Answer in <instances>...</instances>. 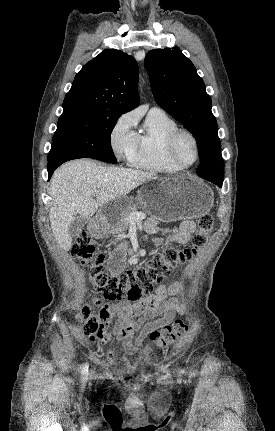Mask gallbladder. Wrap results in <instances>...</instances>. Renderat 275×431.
<instances>
[{
  "label": "gallbladder",
  "mask_w": 275,
  "mask_h": 431,
  "mask_svg": "<svg viewBox=\"0 0 275 431\" xmlns=\"http://www.w3.org/2000/svg\"><path fill=\"white\" fill-rule=\"evenodd\" d=\"M88 220H89L88 217H85V216L75 217L69 227L70 236L72 237L78 236L81 230L83 229V227L87 224Z\"/></svg>",
  "instance_id": "1"
}]
</instances>
